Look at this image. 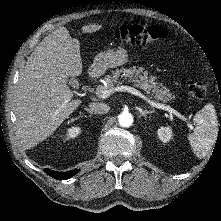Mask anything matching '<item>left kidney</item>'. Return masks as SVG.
<instances>
[{"label": "left kidney", "mask_w": 221, "mask_h": 221, "mask_svg": "<svg viewBox=\"0 0 221 221\" xmlns=\"http://www.w3.org/2000/svg\"><path fill=\"white\" fill-rule=\"evenodd\" d=\"M157 132L159 139L164 143L169 142L172 138V128L169 126L160 127Z\"/></svg>", "instance_id": "obj_1"}]
</instances>
